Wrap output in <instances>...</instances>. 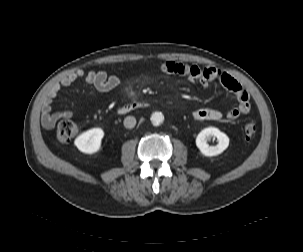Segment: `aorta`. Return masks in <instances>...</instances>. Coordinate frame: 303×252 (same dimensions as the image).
I'll return each instance as SVG.
<instances>
[{
  "mask_svg": "<svg viewBox=\"0 0 303 252\" xmlns=\"http://www.w3.org/2000/svg\"><path fill=\"white\" fill-rule=\"evenodd\" d=\"M153 125H160L164 121V116L161 112H154L150 118Z\"/></svg>",
  "mask_w": 303,
  "mask_h": 252,
  "instance_id": "762f6f07",
  "label": "aorta"
}]
</instances>
